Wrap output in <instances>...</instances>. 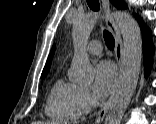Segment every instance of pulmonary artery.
<instances>
[{
  "instance_id": "pulmonary-artery-1",
  "label": "pulmonary artery",
  "mask_w": 156,
  "mask_h": 124,
  "mask_svg": "<svg viewBox=\"0 0 156 124\" xmlns=\"http://www.w3.org/2000/svg\"><path fill=\"white\" fill-rule=\"evenodd\" d=\"M87 53L91 55H100L102 52V44L99 40L91 41L86 47Z\"/></svg>"
}]
</instances>
